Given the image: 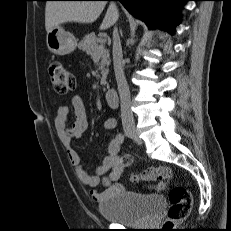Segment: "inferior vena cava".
Segmentation results:
<instances>
[{
  "label": "inferior vena cava",
  "instance_id": "inferior-vena-cava-1",
  "mask_svg": "<svg viewBox=\"0 0 231 231\" xmlns=\"http://www.w3.org/2000/svg\"><path fill=\"white\" fill-rule=\"evenodd\" d=\"M122 47L120 42V37L118 30L114 27L113 30V64L114 72L118 86V92L120 95L121 102V119L122 125L134 127V117L131 110V99L129 87L123 71V61H122Z\"/></svg>",
  "mask_w": 231,
  "mask_h": 231
}]
</instances>
